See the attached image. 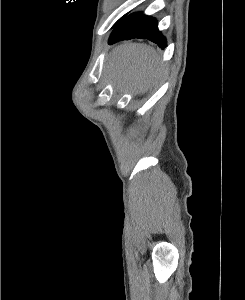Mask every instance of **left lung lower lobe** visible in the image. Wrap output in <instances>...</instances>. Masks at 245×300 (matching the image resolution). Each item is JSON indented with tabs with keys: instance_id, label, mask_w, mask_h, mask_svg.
Returning <instances> with one entry per match:
<instances>
[{
	"instance_id": "0a47b994",
	"label": "left lung lower lobe",
	"mask_w": 245,
	"mask_h": 300,
	"mask_svg": "<svg viewBox=\"0 0 245 300\" xmlns=\"http://www.w3.org/2000/svg\"><path fill=\"white\" fill-rule=\"evenodd\" d=\"M157 21L151 16L143 13H133L126 18H122L114 25V30L109 37V44H114L121 40L133 38L148 39L156 43L159 47H166V38L159 32Z\"/></svg>"
}]
</instances>
